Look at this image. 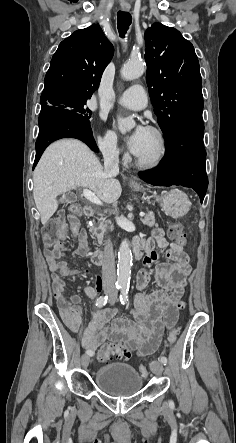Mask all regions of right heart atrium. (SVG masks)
<instances>
[{
	"instance_id": "1",
	"label": "right heart atrium",
	"mask_w": 236,
	"mask_h": 443,
	"mask_svg": "<svg viewBox=\"0 0 236 443\" xmlns=\"http://www.w3.org/2000/svg\"><path fill=\"white\" fill-rule=\"evenodd\" d=\"M98 145L102 153L108 158H116L120 153L117 137L110 131L98 134Z\"/></svg>"
}]
</instances>
